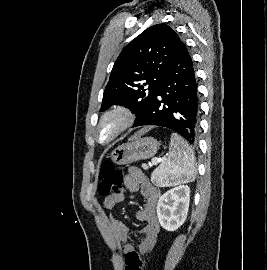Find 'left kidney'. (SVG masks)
Segmentation results:
<instances>
[{"label": "left kidney", "mask_w": 267, "mask_h": 270, "mask_svg": "<svg viewBox=\"0 0 267 270\" xmlns=\"http://www.w3.org/2000/svg\"><path fill=\"white\" fill-rule=\"evenodd\" d=\"M190 202V188L179 185L165 192L157 203V217L167 231L177 230L186 220Z\"/></svg>", "instance_id": "1"}]
</instances>
